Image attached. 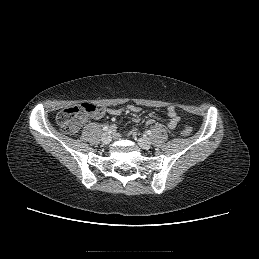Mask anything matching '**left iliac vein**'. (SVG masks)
Returning a JSON list of instances; mask_svg holds the SVG:
<instances>
[{
	"label": "left iliac vein",
	"mask_w": 259,
	"mask_h": 259,
	"mask_svg": "<svg viewBox=\"0 0 259 259\" xmlns=\"http://www.w3.org/2000/svg\"><path fill=\"white\" fill-rule=\"evenodd\" d=\"M138 144L143 149H149L151 147V140L146 137H141L138 139Z\"/></svg>",
	"instance_id": "left-iliac-vein-1"
}]
</instances>
